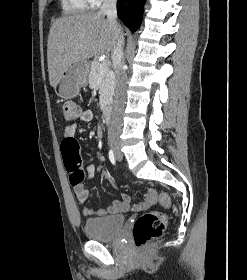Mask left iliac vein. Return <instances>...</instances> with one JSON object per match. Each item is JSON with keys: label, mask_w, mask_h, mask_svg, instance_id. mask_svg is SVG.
<instances>
[{"label": "left iliac vein", "mask_w": 247, "mask_h": 280, "mask_svg": "<svg viewBox=\"0 0 247 280\" xmlns=\"http://www.w3.org/2000/svg\"><path fill=\"white\" fill-rule=\"evenodd\" d=\"M117 159H118V160H121V159H122L121 154H119V153L117 154Z\"/></svg>", "instance_id": "obj_1"}]
</instances>
